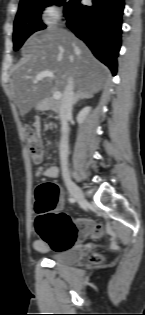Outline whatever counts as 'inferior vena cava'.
I'll use <instances>...</instances> for the list:
<instances>
[{
    "label": "inferior vena cava",
    "mask_w": 145,
    "mask_h": 315,
    "mask_svg": "<svg viewBox=\"0 0 145 315\" xmlns=\"http://www.w3.org/2000/svg\"><path fill=\"white\" fill-rule=\"evenodd\" d=\"M74 93V80L72 77L69 78V82L63 92V96L61 99L60 107H59V117L61 121V140H60V163L62 176L64 179L69 178L68 171V154H69V146H68V118L72 114V107L75 99Z\"/></svg>",
    "instance_id": "1"
}]
</instances>
